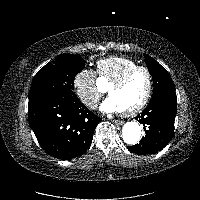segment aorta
<instances>
[{
    "label": "aorta",
    "instance_id": "1",
    "mask_svg": "<svg viewBox=\"0 0 200 200\" xmlns=\"http://www.w3.org/2000/svg\"><path fill=\"white\" fill-rule=\"evenodd\" d=\"M122 136L125 143L134 145L138 143L141 136V127L135 121H130L124 124L122 129Z\"/></svg>",
    "mask_w": 200,
    "mask_h": 200
}]
</instances>
